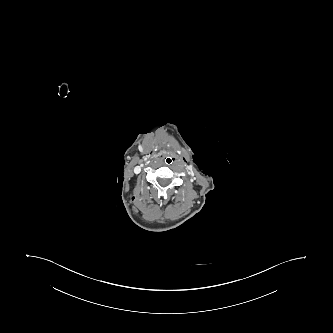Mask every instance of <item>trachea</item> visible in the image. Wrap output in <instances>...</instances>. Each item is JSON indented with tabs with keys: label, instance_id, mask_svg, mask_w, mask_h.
<instances>
[{
	"label": "trachea",
	"instance_id": "1",
	"mask_svg": "<svg viewBox=\"0 0 333 333\" xmlns=\"http://www.w3.org/2000/svg\"><path fill=\"white\" fill-rule=\"evenodd\" d=\"M174 162H175V159L170 154H167V155L163 156V158H162L163 165H165L167 167L172 166L174 164Z\"/></svg>",
	"mask_w": 333,
	"mask_h": 333
}]
</instances>
